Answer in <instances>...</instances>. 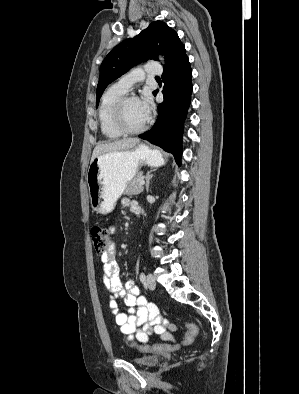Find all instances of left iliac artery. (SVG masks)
Segmentation results:
<instances>
[{
  "mask_svg": "<svg viewBox=\"0 0 299 394\" xmlns=\"http://www.w3.org/2000/svg\"><path fill=\"white\" fill-rule=\"evenodd\" d=\"M145 280H146V276H145V274L142 272V273L140 274V281H141L142 283H144Z\"/></svg>",
  "mask_w": 299,
  "mask_h": 394,
  "instance_id": "obj_1",
  "label": "left iliac artery"
}]
</instances>
